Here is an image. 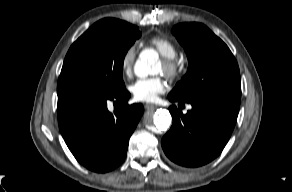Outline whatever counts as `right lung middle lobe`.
<instances>
[{"mask_svg":"<svg viewBox=\"0 0 292 192\" xmlns=\"http://www.w3.org/2000/svg\"><path fill=\"white\" fill-rule=\"evenodd\" d=\"M140 36L138 27L118 19L96 22L70 47L57 88L77 85L102 93L123 91L124 57Z\"/></svg>","mask_w":292,"mask_h":192,"instance_id":"dd1d6c3e","label":"right lung middle lobe"}]
</instances>
